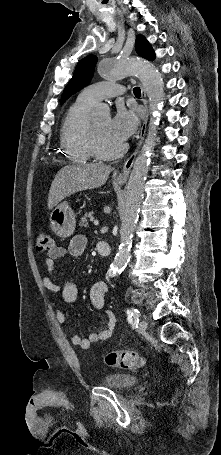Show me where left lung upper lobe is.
Instances as JSON below:
<instances>
[{"label": "left lung upper lobe", "instance_id": "5c2ea615", "mask_svg": "<svg viewBox=\"0 0 221 455\" xmlns=\"http://www.w3.org/2000/svg\"><path fill=\"white\" fill-rule=\"evenodd\" d=\"M135 48L136 52L141 57L148 60H154L155 53L145 37L138 35L135 43ZM96 63L97 57L95 55H89L83 58L77 64L73 77L63 91L61 104H63L66 99L85 87L91 81Z\"/></svg>", "mask_w": 221, "mask_h": 455}]
</instances>
